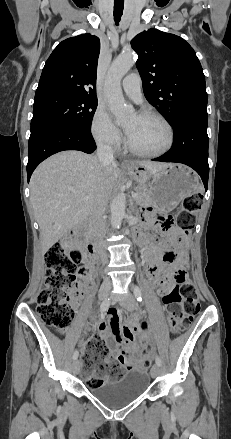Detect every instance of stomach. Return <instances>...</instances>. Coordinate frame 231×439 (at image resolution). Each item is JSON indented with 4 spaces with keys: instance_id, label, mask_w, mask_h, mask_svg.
<instances>
[{
    "instance_id": "0dacf381",
    "label": "stomach",
    "mask_w": 231,
    "mask_h": 439,
    "mask_svg": "<svg viewBox=\"0 0 231 439\" xmlns=\"http://www.w3.org/2000/svg\"><path fill=\"white\" fill-rule=\"evenodd\" d=\"M126 172L139 184L148 185L152 205L162 212L172 211L182 200L200 189L198 175L180 164H171L154 174L140 165H134Z\"/></svg>"
}]
</instances>
